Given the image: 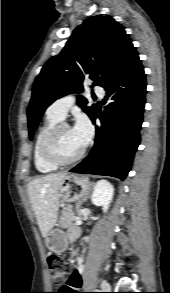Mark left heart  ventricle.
Segmentation results:
<instances>
[{
	"label": "left heart ventricle",
	"mask_w": 170,
	"mask_h": 293,
	"mask_svg": "<svg viewBox=\"0 0 170 293\" xmlns=\"http://www.w3.org/2000/svg\"><path fill=\"white\" fill-rule=\"evenodd\" d=\"M82 147L74 136L72 129L63 128L60 130L55 146V151L59 157L63 159L71 158L79 153Z\"/></svg>",
	"instance_id": "left-heart-ventricle-1"
}]
</instances>
